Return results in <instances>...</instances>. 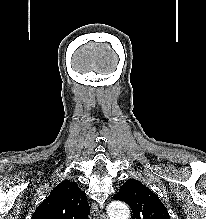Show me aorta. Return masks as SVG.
Segmentation results:
<instances>
[{
	"mask_svg": "<svg viewBox=\"0 0 206 219\" xmlns=\"http://www.w3.org/2000/svg\"><path fill=\"white\" fill-rule=\"evenodd\" d=\"M107 211L110 219H129L130 217L129 207L120 201L110 203Z\"/></svg>",
	"mask_w": 206,
	"mask_h": 219,
	"instance_id": "aorta-1",
	"label": "aorta"
}]
</instances>
